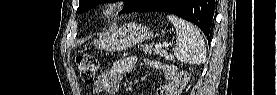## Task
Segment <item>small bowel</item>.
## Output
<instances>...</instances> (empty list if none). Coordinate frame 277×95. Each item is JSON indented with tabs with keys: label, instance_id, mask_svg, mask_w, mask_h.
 I'll return each instance as SVG.
<instances>
[{
	"label": "small bowel",
	"instance_id": "small-bowel-1",
	"mask_svg": "<svg viewBox=\"0 0 277 95\" xmlns=\"http://www.w3.org/2000/svg\"><path fill=\"white\" fill-rule=\"evenodd\" d=\"M137 64V58L130 56L116 60L111 68L101 73L93 84V94H117L122 77L130 73ZM150 64L154 67L160 66L159 60H152ZM166 76H168L166 74ZM168 87H160L157 95H169Z\"/></svg>",
	"mask_w": 277,
	"mask_h": 95
}]
</instances>
